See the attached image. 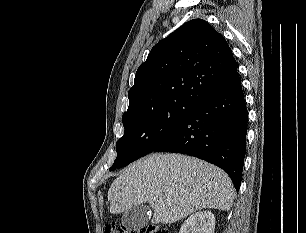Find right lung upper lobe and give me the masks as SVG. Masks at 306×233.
<instances>
[{
	"label": "right lung upper lobe",
	"instance_id": "right-lung-upper-lobe-1",
	"mask_svg": "<svg viewBox=\"0 0 306 233\" xmlns=\"http://www.w3.org/2000/svg\"><path fill=\"white\" fill-rule=\"evenodd\" d=\"M239 80L225 38L208 22L194 19L152 48L128 92L127 112L166 99L200 104Z\"/></svg>",
	"mask_w": 306,
	"mask_h": 233
}]
</instances>
